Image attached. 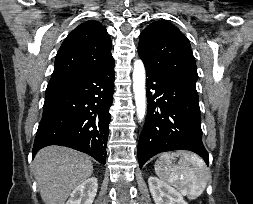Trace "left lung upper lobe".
Returning <instances> with one entry per match:
<instances>
[{
  "instance_id": "left-lung-upper-lobe-1",
  "label": "left lung upper lobe",
  "mask_w": 253,
  "mask_h": 204,
  "mask_svg": "<svg viewBox=\"0 0 253 204\" xmlns=\"http://www.w3.org/2000/svg\"><path fill=\"white\" fill-rule=\"evenodd\" d=\"M138 54L146 69L195 86L198 74L189 40L172 23L159 20L147 26L140 34Z\"/></svg>"
}]
</instances>
